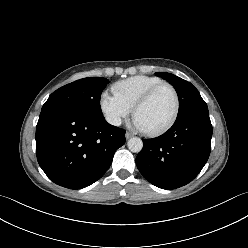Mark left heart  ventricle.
Returning <instances> with one entry per match:
<instances>
[{"mask_svg":"<svg viewBox=\"0 0 248 248\" xmlns=\"http://www.w3.org/2000/svg\"><path fill=\"white\" fill-rule=\"evenodd\" d=\"M174 106L173 93L168 87H162L137 111L135 119L142 129H156L170 119Z\"/></svg>","mask_w":248,"mask_h":248,"instance_id":"left-heart-ventricle-1","label":"left heart ventricle"}]
</instances>
